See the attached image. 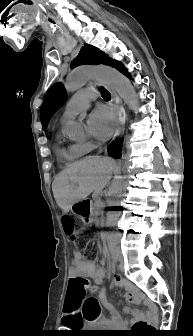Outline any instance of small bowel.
<instances>
[{"mask_svg":"<svg viewBox=\"0 0 193 336\" xmlns=\"http://www.w3.org/2000/svg\"><path fill=\"white\" fill-rule=\"evenodd\" d=\"M87 279H92L95 284L100 285L104 282L105 270L98 266L96 261L88 260L80 251H74L72 254V266L69 270L66 306L62 318L63 325L66 327H72L75 322H84L85 320L83 309L84 295L79 284ZM113 284L125 289V302L135 303L143 301V297L139 291L131 283L125 282L119 275L113 277ZM101 300L109 311L110 318H102L95 322H101L106 326L119 325L121 317L117 308L107 301L104 289L101 292ZM125 311L127 313H136L135 311H131L130 308H125Z\"/></svg>","mask_w":193,"mask_h":336,"instance_id":"small-bowel-1","label":"small bowel"}]
</instances>
